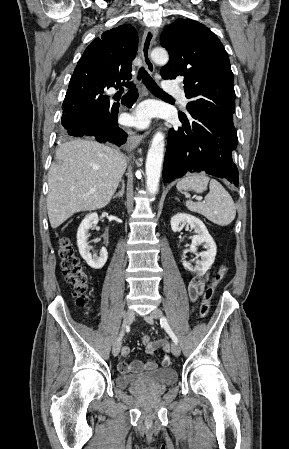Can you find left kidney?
<instances>
[{
    "label": "left kidney",
    "mask_w": 289,
    "mask_h": 449,
    "mask_svg": "<svg viewBox=\"0 0 289 449\" xmlns=\"http://www.w3.org/2000/svg\"><path fill=\"white\" fill-rule=\"evenodd\" d=\"M185 225H190L195 230L196 235L192 238L190 250H184L183 255L188 251H196L198 245H203L206 251L200 253L201 260L195 266L183 260L184 268L190 272L204 274L212 266L217 253V246L209 234L205 224L195 216L179 213L171 218V229L173 232H180Z\"/></svg>",
    "instance_id": "left-kidney-1"
}]
</instances>
